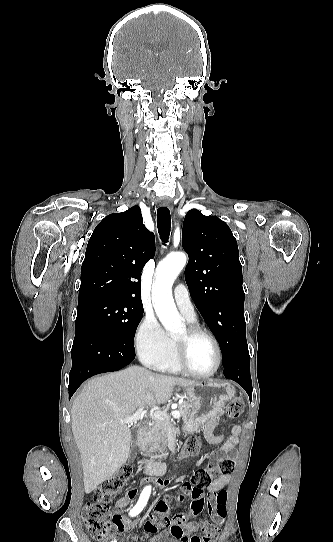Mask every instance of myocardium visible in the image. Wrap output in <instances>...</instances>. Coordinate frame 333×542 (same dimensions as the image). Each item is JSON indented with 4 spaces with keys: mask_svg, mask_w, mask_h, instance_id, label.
<instances>
[{
    "mask_svg": "<svg viewBox=\"0 0 333 542\" xmlns=\"http://www.w3.org/2000/svg\"><path fill=\"white\" fill-rule=\"evenodd\" d=\"M197 336L207 337L213 343L216 350V355H217V361H216V365L214 369L211 372L204 373V374L196 373L193 370H191L187 362V340L193 337H197ZM172 350H173L174 359L176 363L178 364L179 368L189 376L196 377V378H209V377L214 376L221 367L222 351H221V347L217 338L210 331L198 325H189L186 328V339L173 338Z\"/></svg>",
    "mask_w": 333,
    "mask_h": 542,
    "instance_id": "myocardium-1",
    "label": "myocardium"
}]
</instances>
